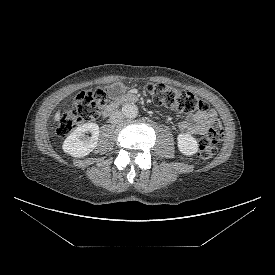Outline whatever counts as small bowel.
<instances>
[{"instance_id":"c3829d8e","label":"small bowel","mask_w":275,"mask_h":275,"mask_svg":"<svg viewBox=\"0 0 275 275\" xmlns=\"http://www.w3.org/2000/svg\"><path fill=\"white\" fill-rule=\"evenodd\" d=\"M108 91L112 97H117L122 93L123 87L121 84H113L109 87ZM216 116L214 110L198 111L188 115L183 121H180L177 127L183 132L200 135L215 121Z\"/></svg>"}]
</instances>
